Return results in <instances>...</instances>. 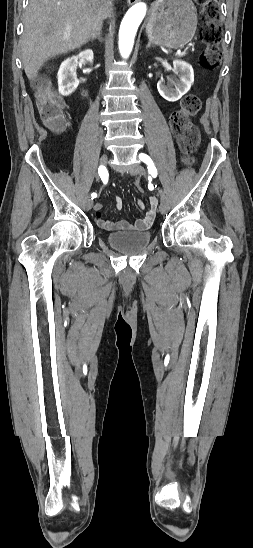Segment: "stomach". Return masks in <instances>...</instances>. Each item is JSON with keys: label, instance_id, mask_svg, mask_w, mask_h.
I'll use <instances>...</instances> for the list:
<instances>
[{"label": "stomach", "instance_id": "0dacf381", "mask_svg": "<svg viewBox=\"0 0 253 548\" xmlns=\"http://www.w3.org/2000/svg\"><path fill=\"white\" fill-rule=\"evenodd\" d=\"M197 29V11L191 0H158L146 25L149 40L168 48L189 43Z\"/></svg>", "mask_w": 253, "mask_h": 548}]
</instances>
